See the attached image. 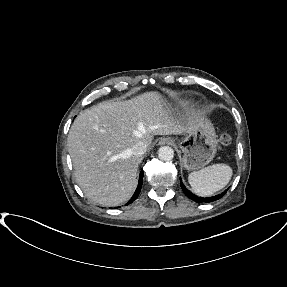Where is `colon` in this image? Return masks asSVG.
<instances>
[{"instance_id":"5ec220e1","label":"colon","mask_w":287,"mask_h":287,"mask_svg":"<svg viewBox=\"0 0 287 287\" xmlns=\"http://www.w3.org/2000/svg\"><path fill=\"white\" fill-rule=\"evenodd\" d=\"M232 141V137L229 133L227 132H224L221 134L220 136V142L223 144V145H229Z\"/></svg>"}]
</instances>
